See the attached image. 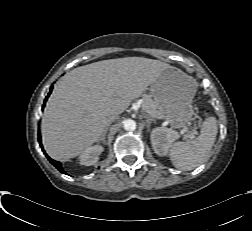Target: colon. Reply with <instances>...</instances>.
<instances>
[{
	"instance_id": "obj_1",
	"label": "colon",
	"mask_w": 252,
	"mask_h": 231,
	"mask_svg": "<svg viewBox=\"0 0 252 231\" xmlns=\"http://www.w3.org/2000/svg\"><path fill=\"white\" fill-rule=\"evenodd\" d=\"M204 114L208 115L209 114L208 110H204Z\"/></svg>"
}]
</instances>
